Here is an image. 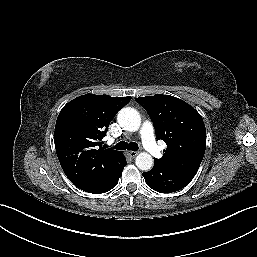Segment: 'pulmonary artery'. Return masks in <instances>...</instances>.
Returning <instances> with one entry per match:
<instances>
[{"mask_svg": "<svg viewBox=\"0 0 257 257\" xmlns=\"http://www.w3.org/2000/svg\"><path fill=\"white\" fill-rule=\"evenodd\" d=\"M139 134L145 149L154 157L160 154V150L155 141L154 127L153 125L145 121L139 130Z\"/></svg>", "mask_w": 257, "mask_h": 257, "instance_id": "1", "label": "pulmonary artery"}]
</instances>
